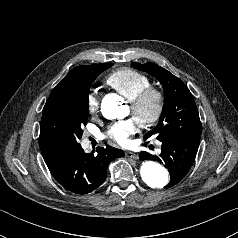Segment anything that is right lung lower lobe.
Masks as SVG:
<instances>
[{"mask_svg":"<svg viewBox=\"0 0 238 238\" xmlns=\"http://www.w3.org/2000/svg\"><path fill=\"white\" fill-rule=\"evenodd\" d=\"M123 156L122 150L111 146L99 148L97 156L85 154L80 145L47 163V167L66 190L75 194H87L103 184L109 163Z\"/></svg>","mask_w":238,"mask_h":238,"instance_id":"98d812e1","label":"right lung lower lobe"}]
</instances>
